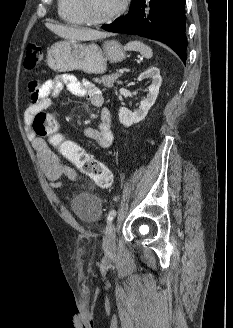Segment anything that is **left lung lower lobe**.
Wrapping results in <instances>:
<instances>
[{
    "mask_svg": "<svg viewBox=\"0 0 233 328\" xmlns=\"http://www.w3.org/2000/svg\"><path fill=\"white\" fill-rule=\"evenodd\" d=\"M185 0H132L126 16L101 27L109 32L158 40L186 60Z\"/></svg>",
    "mask_w": 233,
    "mask_h": 328,
    "instance_id": "obj_1",
    "label": "left lung lower lobe"
}]
</instances>
